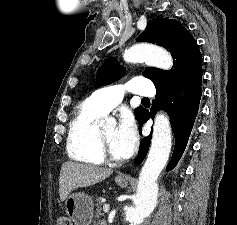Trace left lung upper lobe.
<instances>
[{"label":"left lung upper lobe","instance_id":"left-lung-upper-lobe-1","mask_svg":"<svg viewBox=\"0 0 237 225\" xmlns=\"http://www.w3.org/2000/svg\"><path fill=\"white\" fill-rule=\"evenodd\" d=\"M163 46L171 53L173 69L164 71L158 68H147L143 76L151 79L156 89L182 85L183 83L202 76V56L193 36L185 27L174 19L155 18L148 21L146 29L137 38ZM126 69L116 59L107 60L97 72V83L108 85L120 79ZM143 107H138L136 118L139 119Z\"/></svg>","mask_w":237,"mask_h":225}]
</instances>
